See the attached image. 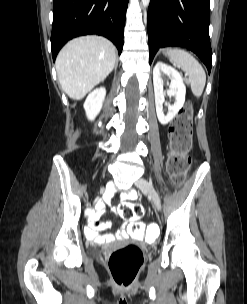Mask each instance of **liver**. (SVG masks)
Masks as SVG:
<instances>
[{
  "instance_id": "obj_1",
  "label": "liver",
  "mask_w": 247,
  "mask_h": 304,
  "mask_svg": "<svg viewBox=\"0 0 247 304\" xmlns=\"http://www.w3.org/2000/svg\"><path fill=\"white\" fill-rule=\"evenodd\" d=\"M117 51L106 38L87 35L69 41L56 58L61 88L72 99L81 100L113 70Z\"/></svg>"
}]
</instances>
